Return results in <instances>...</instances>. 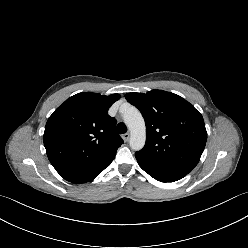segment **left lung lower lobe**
<instances>
[{
	"mask_svg": "<svg viewBox=\"0 0 248 248\" xmlns=\"http://www.w3.org/2000/svg\"><path fill=\"white\" fill-rule=\"evenodd\" d=\"M140 167L154 179L161 182H174L183 178L187 173L183 171L165 169L137 160Z\"/></svg>",
	"mask_w": 248,
	"mask_h": 248,
	"instance_id": "obj_1",
	"label": "left lung lower lobe"
}]
</instances>
